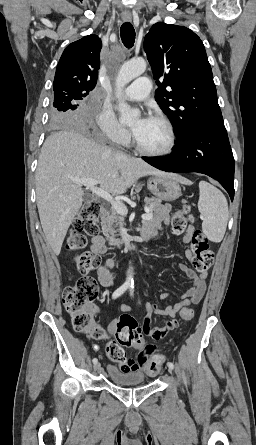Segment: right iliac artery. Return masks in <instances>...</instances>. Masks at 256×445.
I'll return each instance as SVG.
<instances>
[{
  "label": "right iliac artery",
  "mask_w": 256,
  "mask_h": 445,
  "mask_svg": "<svg viewBox=\"0 0 256 445\" xmlns=\"http://www.w3.org/2000/svg\"><path fill=\"white\" fill-rule=\"evenodd\" d=\"M129 288V286L127 284H123L122 286H120L112 295L113 299L118 298L119 296H121L127 289ZM97 358H94L92 360V362L95 364L97 362Z\"/></svg>",
  "instance_id": "obj_1"
}]
</instances>
